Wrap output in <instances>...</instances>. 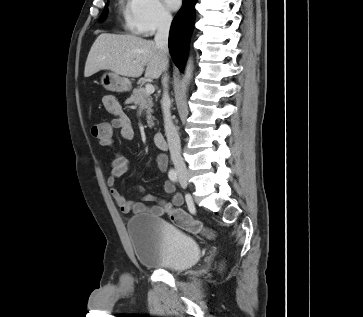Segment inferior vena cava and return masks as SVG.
Segmentation results:
<instances>
[{
    "mask_svg": "<svg viewBox=\"0 0 363 317\" xmlns=\"http://www.w3.org/2000/svg\"><path fill=\"white\" fill-rule=\"evenodd\" d=\"M171 22H172L171 15L163 14L160 17L157 33L154 38L156 46L162 51L164 55V60H165L164 71H166L168 67V54H169L168 37H169ZM168 80L169 77L165 73L162 78V84H163L162 111H163L165 135L167 137L171 160L175 166V169L178 172H186L187 168L181 156L180 138L171 118V112H170L171 102L168 94Z\"/></svg>",
    "mask_w": 363,
    "mask_h": 317,
    "instance_id": "602c4592",
    "label": "inferior vena cava"
}]
</instances>
